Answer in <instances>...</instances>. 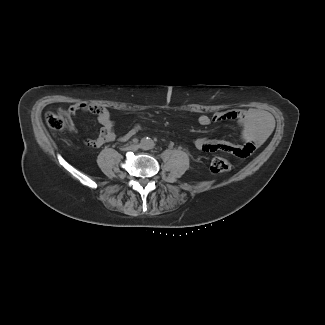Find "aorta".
<instances>
[{
    "mask_svg": "<svg viewBox=\"0 0 325 325\" xmlns=\"http://www.w3.org/2000/svg\"><path fill=\"white\" fill-rule=\"evenodd\" d=\"M154 145L153 140H151L150 138H143L141 140V147L143 149H151Z\"/></svg>",
    "mask_w": 325,
    "mask_h": 325,
    "instance_id": "762f6f07",
    "label": "aorta"
}]
</instances>
